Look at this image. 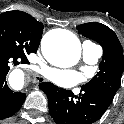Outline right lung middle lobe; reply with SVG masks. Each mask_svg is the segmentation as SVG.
Wrapping results in <instances>:
<instances>
[{"instance_id": "right-lung-middle-lobe-1", "label": "right lung middle lobe", "mask_w": 124, "mask_h": 124, "mask_svg": "<svg viewBox=\"0 0 124 124\" xmlns=\"http://www.w3.org/2000/svg\"><path fill=\"white\" fill-rule=\"evenodd\" d=\"M43 27L38 26L37 29ZM40 44V33H36L30 21H25L15 14H0V50L18 57H26L36 52Z\"/></svg>"}]
</instances>
